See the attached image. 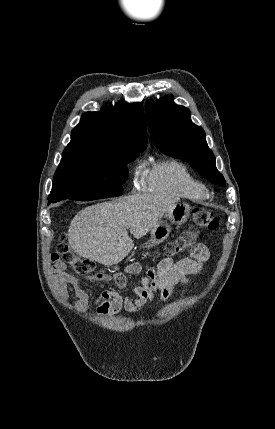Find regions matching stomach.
Here are the masks:
<instances>
[{"label":"stomach","mask_w":275,"mask_h":429,"mask_svg":"<svg viewBox=\"0 0 275 429\" xmlns=\"http://www.w3.org/2000/svg\"><path fill=\"white\" fill-rule=\"evenodd\" d=\"M190 214V206L185 202H176L173 208L164 216L166 220H160L155 227L150 230V239L146 247L156 246L162 243L171 232V224L181 225L185 223ZM167 220L170 222L168 223Z\"/></svg>","instance_id":"obj_1"}]
</instances>
